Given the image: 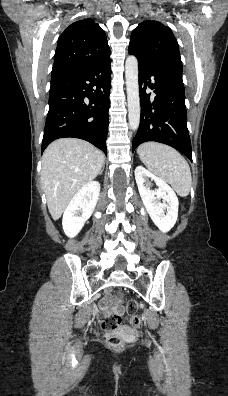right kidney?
<instances>
[{
    "label": "right kidney",
    "instance_id": "right-kidney-1",
    "mask_svg": "<svg viewBox=\"0 0 228 396\" xmlns=\"http://www.w3.org/2000/svg\"><path fill=\"white\" fill-rule=\"evenodd\" d=\"M99 193L100 183L91 181L74 195L62 220L63 230L68 237H75L92 215L99 199Z\"/></svg>",
    "mask_w": 228,
    "mask_h": 396
}]
</instances>
